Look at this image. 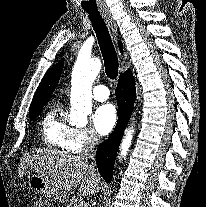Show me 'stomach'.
Masks as SVG:
<instances>
[{
	"mask_svg": "<svg viewBox=\"0 0 206 207\" xmlns=\"http://www.w3.org/2000/svg\"><path fill=\"white\" fill-rule=\"evenodd\" d=\"M27 182L34 191L51 198V188L44 178L38 174H31L28 176Z\"/></svg>",
	"mask_w": 206,
	"mask_h": 207,
	"instance_id": "obj_1",
	"label": "stomach"
}]
</instances>
